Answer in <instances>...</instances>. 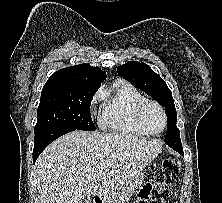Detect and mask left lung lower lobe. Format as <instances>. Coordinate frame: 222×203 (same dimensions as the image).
I'll return each mask as SVG.
<instances>
[{
  "mask_svg": "<svg viewBox=\"0 0 222 203\" xmlns=\"http://www.w3.org/2000/svg\"><path fill=\"white\" fill-rule=\"evenodd\" d=\"M172 149H174L175 151L179 152L180 154L183 155V148L181 144H170L169 145Z\"/></svg>",
  "mask_w": 222,
  "mask_h": 203,
  "instance_id": "obj_1",
  "label": "left lung lower lobe"
}]
</instances>
